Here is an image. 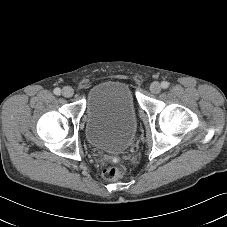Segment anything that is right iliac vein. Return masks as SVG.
<instances>
[{"label": "right iliac vein", "mask_w": 227, "mask_h": 227, "mask_svg": "<svg viewBox=\"0 0 227 227\" xmlns=\"http://www.w3.org/2000/svg\"><path fill=\"white\" fill-rule=\"evenodd\" d=\"M74 94V90L70 86H66L62 89V95L66 98L72 97Z\"/></svg>", "instance_id": "63e3f726"}]
</instances>
